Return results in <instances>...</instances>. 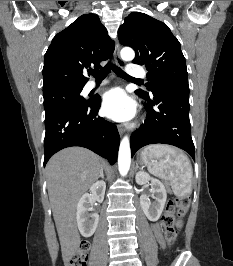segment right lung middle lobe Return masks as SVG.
Returning <instances> with one entry per match:
<instances>
[{
  "mask_svg": "<svg viewBox=\"0 0 233 266\" xmlns=\"http://www.w3.org/2000/svg\"><path fill=\"white\" fill-rule=\"evenodd\" d=\"M82 88L62 89L43 94L45 116L59 109L71 106H80L88 102L80 93Z\"/></svg>",
  "mask_w": 233,
  "mask_h": 266,
  "instance_id": "right-lung-middle-lobe-1",
  "label": "right lung middle lobe"
}]
</instances>
